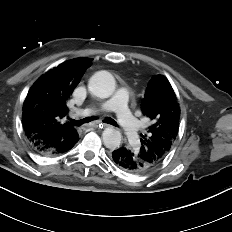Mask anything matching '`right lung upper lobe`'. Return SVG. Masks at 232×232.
Returning <instances> with one entry per match:
<instances>
[{"label": "right lung upper lobe", "mask_w": 232, "mask_h": 232, "mask_svg": "<svg viewBox=\"0 0 232 232\" xmlns=\"http://www.w3.org/2000/svg\"><path fill=\"white\" fill-rule=\"evenodd\" d=\"M92 59L76 58L49 70L30 88L23 104L25 135L37 152L64 153L78 139V133L63 119L67 101Z\"/></svg>", "instance_id": "right-lung-upper-lobe-1"}]
</instances>
